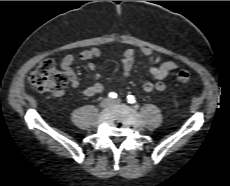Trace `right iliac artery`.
Returning <instances> with one entry per match:
<instances>
[{"mask_svg": "<svg viewBox=\"0 0 230 186\" xmlns=\"http://www.w3.org/2000/svg\"><path fill=\"white\" fill-rule=\"evenodd\" d=\"M108 97H109L110 99H115V98H117V94H116L115 92H110V93L108 94Z\"/></svg>", "mask_w": 230, "mask_h": 186, "instance_id": "right-iliac-artery-1", "label": "right iliac artery"}]
</instances>
